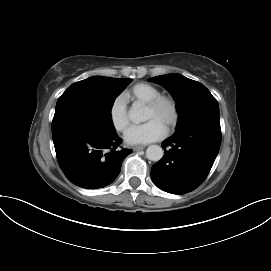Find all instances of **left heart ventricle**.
<instances>
[{
	"label": "left heart ventricle",
	"instance_id": "obj_1",
	"mask_svg": "<svg viewBox=\"0 0 271 271\" xmlns=\"http://www.w3.org/2000/svg\"><path fill=\"white\" fill-rule=\"evenodd\" d=\"M170 117H171V109L167 104L161 105L156 110L145 108V114H144L145 121L154 119L166 128L170 120Z\"/></svg>",
	"mask_w": 271,
	"mask_h": 271
}]
</instances>
